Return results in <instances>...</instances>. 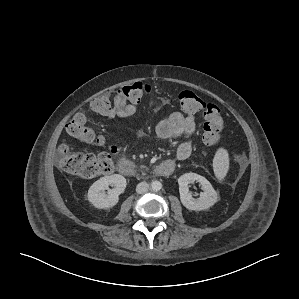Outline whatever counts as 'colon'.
<instances>
[{
    "mask_svg": "<svg viewBox=\"0 0 299 299\" xmlns=\"http://www.w3.org/2000/svg\"><path fill=\"white\" fill-rule=\"evenodd\" d=\"M151 86L143 82H135L126 85L111 94L101 95L92 100L91 110L106 115L114 106L116 98L127 102L139 103L151 93ZM178 101L180 108L188 114L201 113L204 118L203 141L210 147H217L221 143V135L224 122L219 107L213 103L206 102L192 91L184 90L179 93ZM67 133L85 143L102 144V137L97 134L87 123L86 116L78 113L66 125ZM60 168L72 175L82 178H92L102 174L110 173L114 168V157L117 153L115 148L99 154L81 153L72 151L67 145L59 149ZM241 167L247 164L244 154L234 156Z\"/></svg>",
    "mask_w": 299,
    "mask_h": 299,
    "instance_id": "obj_1",
    "label": "colon"
}]
</instances>
